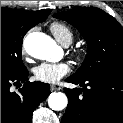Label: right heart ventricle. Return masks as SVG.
Segmentation results:
<instances>
[{"label": "right heart ventricle", "instance_id": "right-heart-ventricle-1", "mask_svg": "<svg viewBox=\"0 0 123 123\" xmlns=\"http://www.w3.org/2000/svg\"><path fill=\"white\" fill-rule=\"evenodd\" d=\"M50 29L54 37L64 46H68L72 43L74 35L66 24L55 21L51 23Z\"/></svg>", "mask_w": 123, "mask_h": 123}]
</instances>
